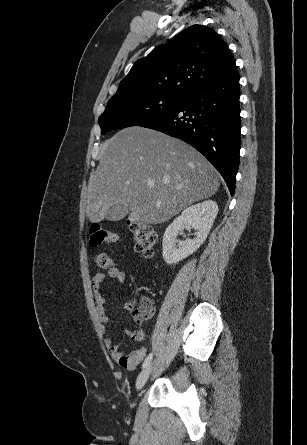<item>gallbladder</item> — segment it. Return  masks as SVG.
I'll list each match as a JSON object with an SVG mask.
<instances>
[{"label":"gallbladder","instance_id":"bac80fb5","mask_svg":"<svg viewBox=\"0 0 307 445\" xmlns=\"http://www.w3.org/2000/svg\"><path fill=\"white\" fill-rule=\"evenodd\" d=\"M128 214L129 206L126 202H121L120 204L111 206L110 211L106 213L105 218L112 223H119L122 218H126Z\"/></svg>","mask_w":307,"mask_h":445}]
</instances>
